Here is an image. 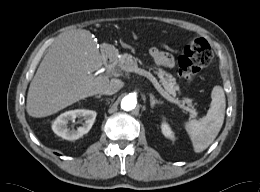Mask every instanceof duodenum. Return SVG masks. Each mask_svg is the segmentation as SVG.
<instances>
[{
    "label": "duodenum",
    "mask_w": 260,
    "mask_h": 192,
    "mask_svg": "<svg viewBox=\"0 0 260 192\" xmlns=\"http://www.w3.org/2000/svg\"><path fill=\"white\" fill-rule=\"evenodd\" d=\"M115 63H116V57H115V56H113V55H108V56H106V58H105V64H106V66H107L108 68L114 66Z\"/></svg>",
    "instance_id": "1"
}]
</instances>
